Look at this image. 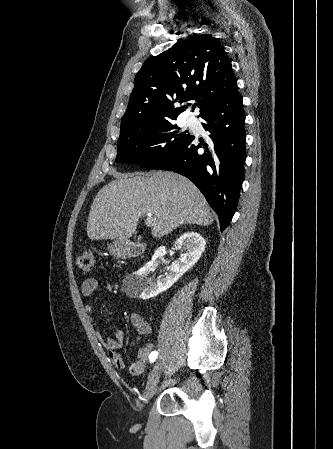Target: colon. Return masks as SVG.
Masks as SVG:
<instances>
[{"label": "colon", "instance_id": "colon-1", "mask_svg": "<svg viewBox=\"0 0 333 449\" xmlns=\"http://www.w3.org/2000/svg\"><path fill=\"white\" fill-rule=\"evenodd\" d=\"M96 252L93 249H87L76 258V266L84 271L89 272L93 268Z\"/></svg>", "mask_w": 333, "mask_h": 449}]
</instances>
